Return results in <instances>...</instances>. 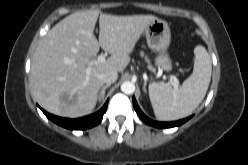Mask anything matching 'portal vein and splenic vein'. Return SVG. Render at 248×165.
I'll return each mask as SVG.
<instances>
[{"mask_svg":"<svg viewBox=\"0 0 248 165\" xmlns=\"http://www.w3.org/2000/svg\"><path fill=\"white\" fill-rule=\"evenodd\" d=\"M106 61L105 55L100 54L97 57L96 63H104ZM92 64V63H91ZM87 73H90V69L88 68ZM172 85L174 88H178L179 81L176 77H171Z\"/></svg>","mask_w":248,"mask_h":165,"instance_id":"1","label":"portal vein and splenic vein"}]
</instances>
